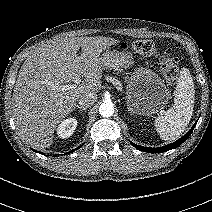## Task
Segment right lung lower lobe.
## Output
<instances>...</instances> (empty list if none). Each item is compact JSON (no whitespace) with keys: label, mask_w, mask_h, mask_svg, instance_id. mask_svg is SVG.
Instances as JSON below:
<instances>
[{"label":"right lung lower lobe","mask_w":212,"mask_h":212,"mask_svg":"<svg viewBox=\"0 0 212 212\" xmlns=\"http://www.w3.org/2000/svg\"><path fill=\"white\" fill-rule=\"evenodd\" d=\"M81 146H79L78 148H80ZM78 148H76V149H78ZM76 149H74V150H76ZM74 150H72L71 152H73ZM37 152V151H36ZM38 153H40V154H43L42 152H39L38 151ZM68 153H70V152H68Z\"/></svg>","instance_id":"right-lung-lower-lobe-1"}]
</instances>
